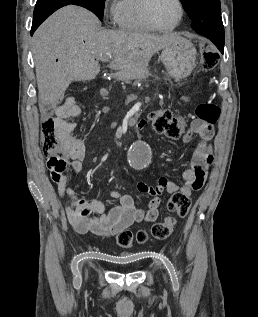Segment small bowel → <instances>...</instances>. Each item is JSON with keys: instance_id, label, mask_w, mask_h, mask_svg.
<instances>
[{"instance_id": "1", "label": "small bowel", "mask_w": 258, "mask_h": 317, "mask_svg": "<svg viewBox=\"0 0 258 317\" xmlns=\"http://www.w3.org/2000/svg\"><path fill=\"white\" fill-rule=\"evenodd\" d=\"M81 110L82 106L74 99H68L57 107L56 113L59 116L58 123L61 128L64 155H53L47 162L58 194L69 199L70 204L65 208V212L76 232L113 236L134 223L154 222L159 215L160 194L164 190L170 194L180 192L189 196L192 191L199 190L206 181L209 167L214 159L213 149L209 144L213 137V126L196 118L182 137L184 143L189 142L194 136L199 137L190 167L182 173L183 184L179 185L165 177H161L156 185L140 182L137 189L151 197L146 209L137 208L132 196L118 191H113L112 195L119 202L110 209L101 201L77 197L70 186V177L66 173V169L70 167L75 174L82 169L85 142L73 134L70 123V120L77 117ZM146 124L147 121L142 120L139 122L138 128L142 129Z\"/></svg>"}]
</instances>
